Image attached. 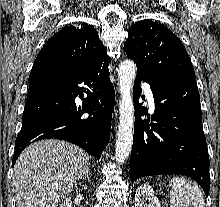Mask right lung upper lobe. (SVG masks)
Listing matches in <instances>:
<instances>
[{
	"label": "right lung upper lobe",
	"instance_id": "cb5924a9",
	"mask_svg": "<svg viewBox=\"0 0 220 207\" xmlns=\"http://www.w3.org/2000/svg\"><path fill=\"white\" fill-rule=\"evenodd\" d=\"M107 49L93 26L83 23L69 25L51 37L36 57L31 72L55 70L78 72L106 59Z\"/></svg>",
	"mask_w": 220,
	"mask_h": 207
}]
</instances>
